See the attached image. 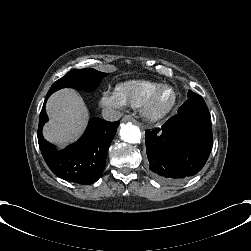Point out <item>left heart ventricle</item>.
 Listing matches in <instances>:
<instances>
[{
  "label": "left heart ventricle",
  "instance_id": "obj_1",
  "mask_svg": "<svg viewBox=\"0 0 251 251\" xmlns=\"http://www.w3.org/2000/svg\"><path fill=\"white\" fill-rule=\"evenodd\" d=\"M176 98L175 90L172 86H163L156 97L155 104L158 108H165L170 106Z\"/></svg>",
  "mask_w": 251,
  "mask_h": 251
}]
</instances>
